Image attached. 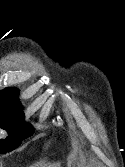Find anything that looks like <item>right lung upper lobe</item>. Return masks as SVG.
<instances>
[{
    "label": "right lung upper lobe",
    "mask_w": 125,
    "mask_h": 167,
    "mask_svg": "<svg viewBox=\"0 0 125 167\" xmlns=\"http://www.w3.org/2000/svg\"><path fill=\"white\" fill-rule=\"evenodd\" d=\"M17 95H18V89L11 87L6 88L0 92L1 99L18 100Z\"/></svg>",
    "instance_id": "right-lung-upper-lobe-1"
}]
</instances>
